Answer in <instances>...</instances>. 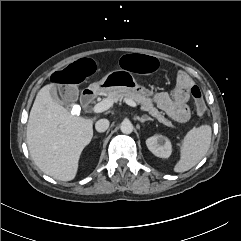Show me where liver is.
<instances>
[{"mask_svg":"<svg viewBox=\"0 0 241 241\" xmlns=\"http://www.w3.org/2000/svg\"><path fill=\"white\" fill-rule=\"evenodd\" d=\"M50 87L40 89L30 111L27 145L43 173L71 181L77 174L80 155L92 139L95 118L72 115L52 98Z\"/></svg>","mask_w":241,"mask_h":241,"instance_id":"6515ba94","label":"liver"}]
</instances>
